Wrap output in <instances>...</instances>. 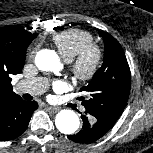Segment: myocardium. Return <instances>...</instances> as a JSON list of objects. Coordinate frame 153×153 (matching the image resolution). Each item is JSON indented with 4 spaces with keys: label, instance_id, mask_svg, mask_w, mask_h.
<instances>
[{
    "label": "myocardium",
    "instance_id": "obj_1",
    "mask_svg": "<svg viewBox=\"0 0 153 153\" xmlns=\"http://www.w3.org/2000/svg\"><path fill=\"white\" fill-rule=\"evenodd\" d=\"M104 59L100 45L91 42L85 45L71 60L70 71L73 79L81 84L90 82L98 74Z\"/></svg>",
    "mask_w": 153,
    "mask_h": 153
}]
</instances>
